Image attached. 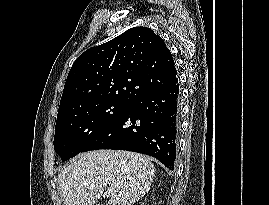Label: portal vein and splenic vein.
<instances>
[{
  "label": "portal vein and splenic vein",
  "instance_id": "portal-vein-and-splenic-vein-1",
  "mask_svg": "<svg viewBox=\"0 0 269 205\" xmlns=\"http://www.w3.org/2000/svg\"><path fill=\"white\" fill-rule=\"evenodd\" d=\"M112 190L111 189H107V194H111Z\"/></svg>",
  "mask_w": 269,
  "mask_h": 205
}]
</instances>
